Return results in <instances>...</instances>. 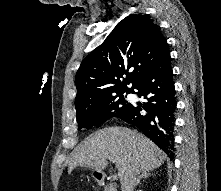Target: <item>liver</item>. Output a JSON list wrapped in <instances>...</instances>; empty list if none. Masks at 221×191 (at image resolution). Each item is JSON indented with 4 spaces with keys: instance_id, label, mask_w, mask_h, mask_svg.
<instances>
[{
    "instance_id": "6515ba94",
    "label": "liver",
    "mask_w": 221,
    "mask_h": 191,
    "mask_svg": "<svg viewBox=\"0 0 221 191\" xmlns=\"http://www.w3.org/2000/svg\"><path fill=\"white\" fill-rule=\"evenodd\" d=\"M108 157L115 160L121 186L130 175L152 171L167 158L151 140L136 130L108 127L91 134L74 149L68 172L77 166L101 172L107 167Z\"/></svg>"
}]
</instances>
